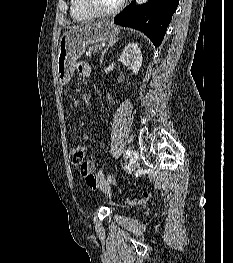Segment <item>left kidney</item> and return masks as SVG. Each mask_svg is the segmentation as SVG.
Returning <instances> with one entry per match:
<instances>
[{"label":"left kidney","instance_id":"left-kidney-1","mask_svg":"<svg viewBox=\"0 0 233 263\" xmlns=\"http://www.w3.org/2000/svg\"><path fill=\"white\" fill-rule=\"evenodd\" d=\"M142 54L137 43H129L120 56V61L131 69L135 75L138 74L142 65Z\"/></svg>","mask_w":233,"mask_h":263}]
</instances>
